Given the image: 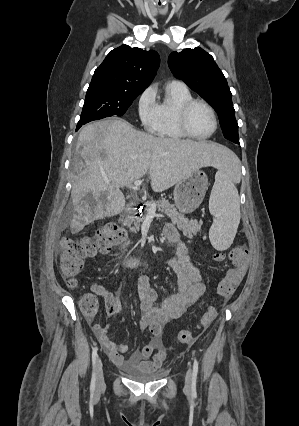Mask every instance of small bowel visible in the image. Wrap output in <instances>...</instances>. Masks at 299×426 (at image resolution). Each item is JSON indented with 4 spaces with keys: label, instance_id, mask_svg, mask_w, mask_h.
<instances>
[{
    "label": "small bowel",
    "instance_id": "1",
    "mask_svg": "<svg viewBox=\"0 0 299 426\" xmlns=\"http://www.w3.org/2000/svg\"><path fill=\"white\" fill-rule=\"evenodd\" d=\"M167 241L177 245V256L166 260L173 270L177 284L173 292L157 305V293L151 286L149 277L141 275L137 280V291L142 318L140 328L150 333L145 345L134 350L129 358L123 355L129 350L126 344H117L108 337L111 324L101 326L93 323V331L111 361L120 368H159L166 359L162 335L164 326L173 319L179 318L204 293L206 286L200 270L192 263L189 249L181 240L176 227L167 224L164 228ZM94 291L105 303L109 318L115 316L119 309L118 297L101 286H95Z\"/></svg>",
    "mask_w": 299,
    "mask_h": 426
}]
</instances>
